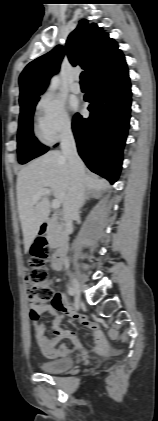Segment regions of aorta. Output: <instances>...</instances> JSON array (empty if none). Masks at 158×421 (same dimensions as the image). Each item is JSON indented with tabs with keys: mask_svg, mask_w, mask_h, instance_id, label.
<instances>
[{
	"mask_svg": "<svg viewBox=\"0 0 158 421\" xmlns=\"http://www.w3.org/2000/svg\"><path fill=\"white\" fill-rule=\"evenodd\" d=\"M58 84H59L58 77H53L51 79V82H50V85L48 87V90L51 91V92L56 91L57 88H58Z\"/></svg>",
	"mask_w": 158,
	"mask_h": 421,
	"instance_id": "aorta-1",
	"label": "aorta"
}]
</instances>
